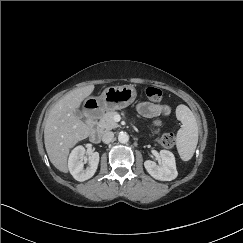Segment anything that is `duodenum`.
I'll use <instances>...</instances> for the list:
<instances>
[{
  "instance_id": "duodenum-1",
  "label": "duodenum",
  "mask_w": 243,
  "mask_h": 243,
  "mask_svg": "<svg viewBox=\"0 0 243 243\" xmlns=\"http://www.w3.org/2000/svg\"><path fill=\"white\" fill-rule=\"evenodd\" d=\"M103 113L102 109H99L97 111V114L100 115ZM90 140L93 143H98L101 140V132L99 131L98 127L96 124H92L91 126V132H90Z\"/></svg>"
}]
</instances>
